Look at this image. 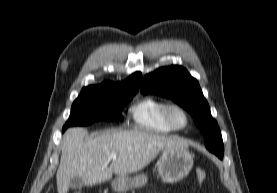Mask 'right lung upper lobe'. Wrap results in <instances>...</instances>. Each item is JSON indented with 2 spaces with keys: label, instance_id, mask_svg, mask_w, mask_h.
Returning <instances> with one entry per match:
<instances>
[{
  "label": "right lung upper lobe",
  "instance_id": "obj_1",
  "mask_svg": "<svg viewBox=\"0 0 277 193\" xmlns=\"http://www.w3.org/2000/svg\"><path fill=\"white\" fill-rule=\"evenodd\" d=\"M142 75L137 72L132 74L127 80L124 82H110L105 81L100 85H92L83 88L82 90L95 91V92H103V93H129V92H137L139 89V85L141 83Z\"/></svg>",
  "mask_w": 277,
  "mask_h": 193
}]
</instances>
